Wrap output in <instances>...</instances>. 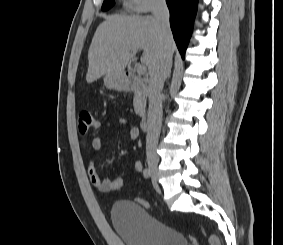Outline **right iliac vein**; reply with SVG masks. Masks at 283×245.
Here are the masks:
<instances>
[{
    "label": "right iliac vein",
    "mask_w": 283,
    "mask_h": 245,
    "mask_svg": "<svg viewBox=\"0 0 283 245\" xmlns=\"http://www.w3.org/2000/svg\"><path fill=\"white\" fill-rule=\"evenodd\" d=\"M158 163L157 160L153 157L148 158V167L151 173L153 180L156 182L158 180Z\"/></svg>",
    "instance_id": "obj_1"
}]
</instances>
